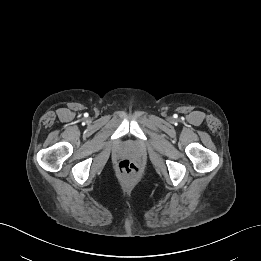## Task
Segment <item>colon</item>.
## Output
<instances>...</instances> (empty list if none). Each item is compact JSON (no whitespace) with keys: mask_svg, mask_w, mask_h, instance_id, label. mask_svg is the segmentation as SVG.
Instances as JSON below:
<instances>
[{"mask_svg":"<svg viewBox=\"0 0 261 261\" xmlns=\"http://www.w3.org/2000/svg\"><path fill=\"white\" fill-rule=\"evenodd\" d=\"M118 168L120 175L126 179H135L140 174L139 167L129 160H122Z\"/></svg>","mask_w":261,"mask_h":261,"instance_id":"1","label":"colon"}]
</instances>
